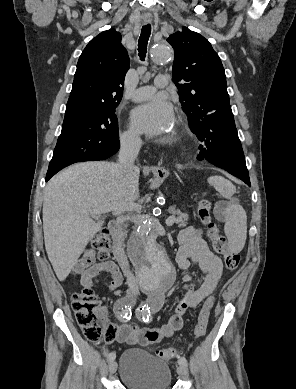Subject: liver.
Returning <instances> with one entry per match:
<instances>
[{
	"label": "liver",
	"mask_w": 296,
	"mask_h": 389,
	"mask_svg": "<svg viewBox=\"0 0 296 389\" xmlns=\"http://www.w3.org/2000/svg\"><path fill=\"white\" fill-rule=\"evenodd\" d=\"M138 169V168H137ZM139 197V169L125 175L117 163L74 164L46 185L43 202L45 248L55 274L64 281L88 242L102 230L94 210Z\"/></svg>",
	"instance_id": "1"
}]
</instances>
